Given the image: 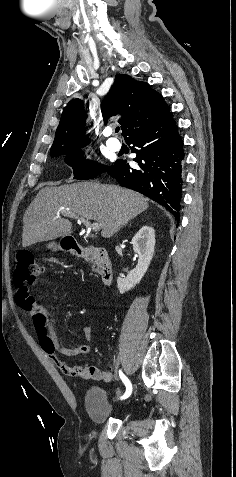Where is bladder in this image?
Instances as JSON below:
<instances>
[{
    "mask_svg": "<svg viewBox=\"0 0 236 477\" xmlns=\"http://www.w3.org/2000/svg\"><path fill=\"white\" fill-rule=\"evenodd\" d=\"M84 402L90 420L95 424L107 422L121 412V406L110 399L100 387L90 386L84 393Z\"/></svg>",
    "mask_w": 236,
    "mask_h": 477,
    "instance_id": "1",
    "label": "bladder"
}]
</instances>
